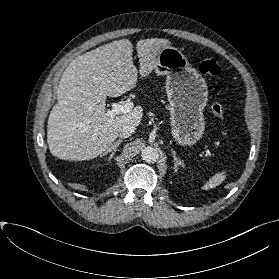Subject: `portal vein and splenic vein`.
<instances>
[{"label": "portal vein and splenic vein", "mask_w": 279, "mask_h": 279, "mask_svg": "<svg viewBox=\"0 0 279 279\" xmlns=\"http://www.w3.org/2000/svg\"><path fill=\"white\" fill-rule=\"evenodd\" d=\"M112 109L107 111L108 116H116L118 114L129 113L133 109V103L128 101L125 104L112 103Z\"/></svg>", "instance_id": "obj_1"}]
</instances>
